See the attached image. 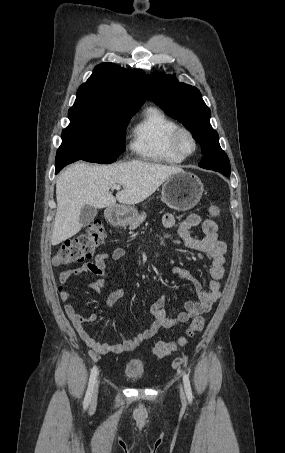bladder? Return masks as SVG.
Masks as SVG:
<instances>
[{
    "mask_svg": "<svg viewBox=\"0 0 285 453\" xmlns=\"http://www.w3.org/2000/svg\"><path fill=\"white\" fill-rule=\"evenodd\" d=\"M144 373V365L141 362L137 361H131L127 363L124 369L125 376L132 380L141 379L144 376Z\"/></svg>",
    "mask_w": 285,
    "mask_h": 453,
    "instance_id": "obj_1",
    "label": "bladder"
}]
</instances>
